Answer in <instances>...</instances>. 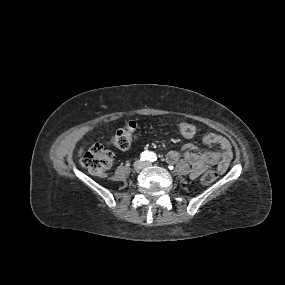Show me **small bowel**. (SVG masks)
<instances>
[{"label": "small bowel", "mask_w": 285, "mask_h": 285, "mask_svg": "<svg viewBox=\"0 0 285 285\" xmlns=\"http://www.w3.org/2000/svg\"><path fill=\"white\" fill-rule=\"evenodd\" d=\"M204 142L209 146L218 147V152H202L193 143L183 145L181 150H171L166 155L169 163H176L184 157L192 165V175L199 176L206 168L216 166L220 173H224L232 160L230 142L222 135L209 133Z\"/></svg>", "instance_id": "c3829d8e"}]
</instances>
